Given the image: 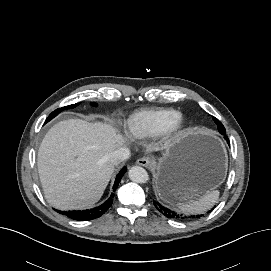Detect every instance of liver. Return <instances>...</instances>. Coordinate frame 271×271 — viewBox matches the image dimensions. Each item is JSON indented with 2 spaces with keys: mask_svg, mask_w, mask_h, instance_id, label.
Returning <instances> with one entry per match:
<instances>
[{
  "mask_svg": "<svg viewBox=\"0 0 271 271\" xmlns=\"http://www.w3.org/2000/svg\"><path fill=\"white\" fill-rule=\"evenodd\" d=\"M124 143L109 125L80 119L55 124L43 138L37 159L47 202L60 210L93 206L114 173L109 156Z\"/></svg>",
  "mask_w": 271,
  "mask_h": 271,
  "instance_id": "liver-1",
  "label": "liver"
}]
</instances>
